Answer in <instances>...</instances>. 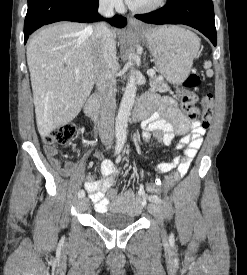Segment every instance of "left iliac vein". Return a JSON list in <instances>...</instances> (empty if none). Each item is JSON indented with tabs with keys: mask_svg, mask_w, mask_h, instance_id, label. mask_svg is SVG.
Masks as SVG:
<instances>
[{
	"mask_svg": "<svg viewBox=\"0 0 247 275\" xmlns=\"http://www.w3.org/2000/svg\"><path fill=\"white\" fill-rule=\"evenodd\" d=\"M148 211L160 222L161 228H162V235L166 236V231L164 229V217H163V211L157 202H151L148 206Z\"/></svg>",
	"mask_w": 247,
	"mask_h": 275,
	"instance_id": "1",
	"label": "left iliac vein"
}]
</instances>
